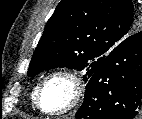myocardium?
<instances>
[{
  "instance_id": "myocardium-1",
  "label": "myocardium",
  "mask_w": 142,
  "mask_h": 119,
  "mask_svg": "<svg viewBox=\"0 0 142 119\" xmlns=\"http://www.w3.org/2000/svg\"><path fill=\"white\" fill-rule=\"evenodd\" d=\"M57 78H62L67 80L71 85L72 93L69 102L64 107L57 110H49L42 106V96L47 84L50 81ZM84 89H85L84 81L83 78L79 75V73L71 69L56 70L49 73L39 85L35 95V104L37 108L46 115H51V116L64 115L71 112L79 105L84 94Z\"/></svg>"
}]
</instances>
